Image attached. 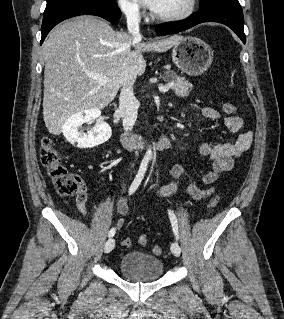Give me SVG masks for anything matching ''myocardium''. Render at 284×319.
<instances>
[{
  "instance_id": "1",
  "label": "myocardium",
  "mask_w": 284,
  "mask_h": 319,
  "mask_svg": "<svg viewBox=\"0 0 284 319\" xmlns=\"http://www.w3.org/2000/svg\"><path fill=\"white\" fill-rule=\"evenodd\" d=\"M198 0H189L187 7L180 13L173 15H158L155 12L152 13V18L159 22H178L189 18L196 10Z\"/></svg>"
}]
</instances>
